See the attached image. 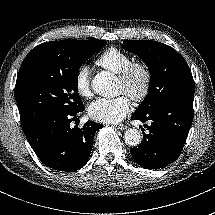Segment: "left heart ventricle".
Segmentation results:
<instances>
[{"mask_svg": "<svg viewBox=\"0 0 215 215\" xmlns=\"http://www.w3.org/2000/svg\"><path fill=\"white\" fill-rule=\"evenodd\" d=\"M117 86L119 93H126L127 89H130L132 92L137 93L142 86V75L140 72H136L128 85L118 79Z\"/></svg>", "mask_w": 215, "mask_h": 215, "instance_id": "obj_1", "label": "left heart ventricle"}]
</instances>
